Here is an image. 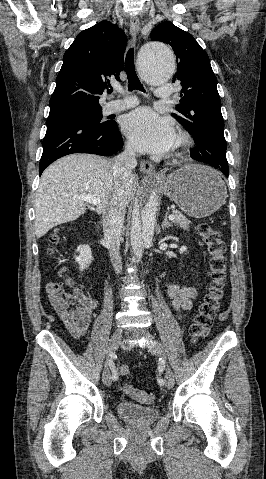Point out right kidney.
I'll use <instances>...</instances> for the list:
<instances>
[{
	"instance_id": "ca27d5eb",
	"label": "right kidney",
	"mask_w": 266,
	"mask_h": 479,
	"mask_svg": "<svg viewBox=\"0 0 266 479\" xmlns=\"http://www.w3.org/2000/svg\"><path fill=\"white\" fill-rule=\"evenodd\" d=\"M76 252L79 254L75 256V261L79 264V270L84 271L93 260L91 249L88 245H80L76 249Z\"/></svg>"
}]
</instances>
